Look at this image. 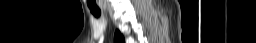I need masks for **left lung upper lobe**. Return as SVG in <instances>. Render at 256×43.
<instances>
[{
    "label": "left lung upper lobe",
    "instance_id": "obj_1",
    "mask_svg": "<svg viewBox=\"0 0 256 43\" xmlns=\"http://www.w3.org/2000/svg\"><path fill=\"white\" fill-rule=\"evenodd\" d=\"M114 41H115V43H124V38L118 30L115 33Z\"/></svg>",
    "mask_w": 256,
    "mask_h": 43
}]
</instances>
